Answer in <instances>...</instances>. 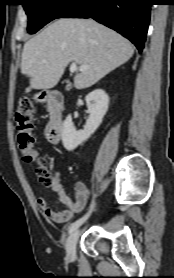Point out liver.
<instances>
[{
  "label": "liver",
  "instance_id": "liver-1",
  "mask_svg": "<svg viewBox=\"0 0 174 278\" xmlns=\"http://www.w3.org/2000/svg\"><path fill=\"white\" fill-rule=\"evenodd\" d=\"M133 53L127 39L92 19L60 18L24 44L21 73L30 78L26 92L55 87L72 61L88 66L74 77L76 89L88 88Z\"/></svg>",
  "mask_w": 174,
  "mask_h": 278
}]
</instances>
